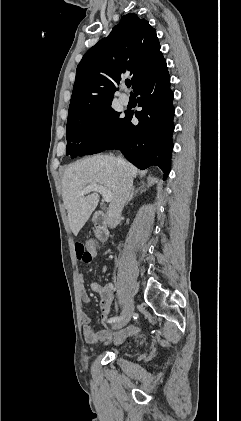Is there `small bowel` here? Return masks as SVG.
Wrapping results in <instances>:
<instances>
[{
    "instance_id": "c3829d8e",
    "label": "small bowel",
    "mask_w": 241,
    "mask_h": 421,
    "mask_svg": "<svg viewBox=\"0 0 241 421\" xmlns=\"http://www.w3.org/2000/svg\"><path fill=\"white\" fill-rule=\"evenodd\" d=\"M107 267L102 268V272L105 273ZM91 289L100 296L99 306L102 311L101 313V324L104 326L103 330L95 332L91 327L92 318L89 314L83 313V336L86 342L90 344H97L109 341L121 342L123 339L135 334L137 332L136 325H129L124 329L111 334L107 322L108 313L113 301V286L111 284H101L99 282H93ZM79 295L83 303H89L90 297L87 293L84 283V276H80L79 279Z\"/></svg>"
}]
</instances>
